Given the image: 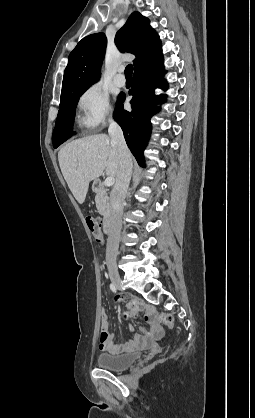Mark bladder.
<instances>
[{
	"instance_id": "31cf9c89",
	"label": "bladder",
	"mask_w": 255,
	"mask_h": 418,
	"mask_svg": "<svg viewBox=\"0 0 255 418\" xmlns=\"http://www.w3.org/2000/svg\"><path fill=\"white\" fill-rule=\"evenodd\" d=\"M140 352L124 354H100L97 364L100 368L111 371H122L131 366L140 358Z\"/></svg>"
}]
</instances>
